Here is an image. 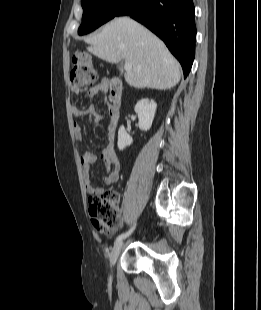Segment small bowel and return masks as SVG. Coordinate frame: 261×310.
I'll list each match as a JSON object with an SVG mask.
<instances>
[{"label": "small bowel", "instance_id": "c3829d8e", "mask_svg": "<svg viewBox=\"0 0 261 310\" xmlns=\"http://www.w3.org/2000/svg\"><path fill=\"white\" fill-rule=\"evenodd\" d=\"M108 82L107 80H102L98 85L88 88L85 90V95L89 98L95 97L98 94H104L107 92ZM75 93L82 92L81 88H74ZM72 114L75 117L89 116L92 122H99L102 116L98 114L94 106L89 107L86 111L80 110L77 107H72ZM111 113V108L109 109V115ZM74 136L77 140H82V131L80 125L74 121L73 123ZM107 140L108 144L103 149L101 153V159L103 160L106 167V174L103 177L105 184L109 185L116 182L120 175V161L117 156L114 140H115V127L112 126L111 120L107 128ZM98 156L92 152H85L81 157V168L82 176L85 181L86 191L89 194L98 195L102 193V188L93 185L90 179V170L92 166L97 162Z\"/></svg>", "mask_w": 261, "mask_h": 310}]
</instances>
